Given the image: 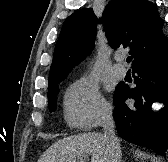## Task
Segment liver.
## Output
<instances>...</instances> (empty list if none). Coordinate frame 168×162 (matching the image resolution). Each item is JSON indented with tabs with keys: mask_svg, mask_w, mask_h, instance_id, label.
<instances>
[{
	"mask_svg": "<svg viewBox=\"0 0 168 162\" xmlns=\"http://www.w3.org/2000/svg\"><path fill=\"white\" fill-rule=\"evenodd\" d=\"M91 155V162H109L104 135L97 132L63 138L52 144L38 162H85Z\"/></svg>",
	"mask_w": 168,
	"mask_h": 162,
	"instance_id": "liver-1",
	"label": "liver"
}]
</instances>
